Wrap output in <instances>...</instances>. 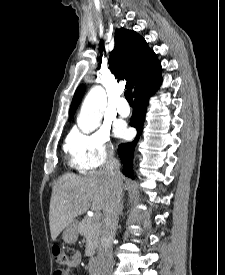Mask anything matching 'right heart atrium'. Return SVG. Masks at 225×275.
Returning <instances> with one entry per match:
<instances>
[{"label":"right heart atrium","mask_w":225,"mask_h":275,"mask_svg":"<svg viewBox=\"0 0 225 275\" xmlns=\"http://www.w3.org/2000/svg\"><path fill=\"white\" fill-rule=\"evenodd\" d=\"M74 166L83 172L104 165L113 155V145L108 129L99 128L91 132L73 131L66 142Z\"/></svg>","instance_id":"1"}]
</instances>
